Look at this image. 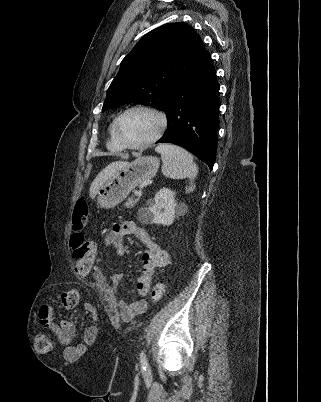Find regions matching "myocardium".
I'll use <instances>...</instances> for the list:
<instances>
[{"label":"myocardium","instance_id":"f54148a6","mask_svg":"<svg viewBox=\"0 0 321 402\" xmlns=\"http://www.w3.org/2000/svg\"><path fill=\"white\" fill-rule=\"evenodd\" d=\"M133 111L149 112V113L153 114L154 116H156V118L159 121V128H158L157 132L151 138H149L146 141L141 142L139 144L127 143L122 138V136L120 135V131H119L120 122L123 119V117H125L128 113L133 112ZM167 126H168V119L163 111H161L160 109L153 107V106H149V105H145V104H137V105H133V106L126 108L115 118L114 134H115L116 140L118 141V143L120 144V146L123 149L141 150V149H145V148L151 146L156 141H158L165 133Z\"/></svg>","mask_w":321,"mask_h":402}]
</instances>
